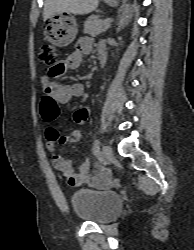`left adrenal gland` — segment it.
<instances>
[{
	"label": "left adrenal gland",
	"mask_w": 194,
	"mask_h": 250,
	"mask_svg": "<svg viewBox=\"0 0 194 250\" xmlns=\"http://www.w3.org/2000/svg\"><path fill=\"white\" fill-rule=\"evenodd\" d=\"M126 18H129V16H126V17H124V18H121V20L119 21L118 27H117V33L120 31V29H121L122 27H124L125 19H126Z\"/></svg>",
	"instance_id": "a2214340"
}]
</instances>
